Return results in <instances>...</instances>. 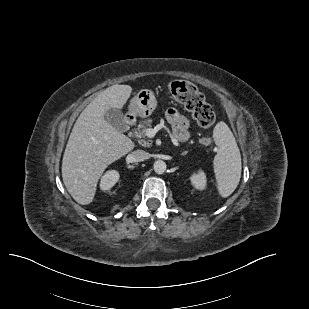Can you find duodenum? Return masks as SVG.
<instances>
[{
    "label": "duodenum",
    "mask_w": 309,
    "mask_h": 309,
    "mask_svg": "<svg viewBox=\"0 0 309 309\" xmlns=\"http://www.w3.org/2000/svg\"><path fill=\"white\" fill-rule=\"evenodd\" d=\"M127 122H128L129 124H133V123H134V118L131 117V116H129V117L127 118Z\"/></svg>",
    "instance_id": "obj_1"
}]
</instances>
